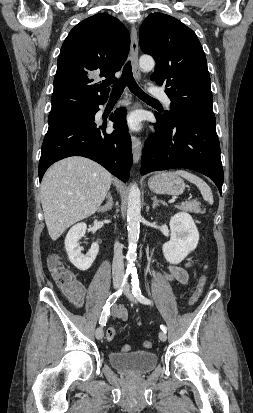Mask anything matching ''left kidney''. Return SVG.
I'll list each match as a JSON object with an SVG mask.
<instances>
[{"instance_id":"left-kidney-1","label":"left kidney","mask_w":253,"mask_h":413,"mask_svg":"<svg viewBox=\"0 0 253 413\" xmlns=\"http://www.w3.org/2000/svg\"><path fill=\"white\" fill-rule=\"evenodd\" d=\"M170 241L163 244V255L167 262L179 264L196 249L199 232L193 218L185 212H179L170 219Z\"/></svg>"}]
</instances>
